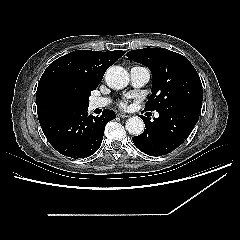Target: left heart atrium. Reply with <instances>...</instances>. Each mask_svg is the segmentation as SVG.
Here are the masks:
<instances>
[{
  "label": "left heart atrium",
  "instance_id": "left-heart-atrium-1",
  "mask_svg": "<svg viewBox=\"0 0 240 240\" xmlns=\"http://www.w3.org/2000/svg\"><path fill=\"white\" fill-rule=\"evenodd\" d=\"M120 106H121V107H126V101H121V102H120Z\"/></svg>",
  "mask_w": 240,
  "mask_h": 240
}]
</instances>
